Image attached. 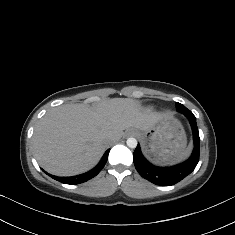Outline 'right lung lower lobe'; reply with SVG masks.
Here are the masks:
<instances>
[{
    "instance_id": "right-lung-lower-lobe-1",
    "label": "right lung lower lobe",
    "mask_w": 235,
    "mask_h": 235,
    "mask_svg": "<svg viewBox=\"0 0 235 235\" xmlns=\"http://www.w3.org/2000/svg\"><path fill=\"white\" fill-rule=\"evenodd\" d=\"M108 154H109V150H107L105 152L100 163L95 168H93L92 170H90L89 172H86L84 174L72 176V177H57V176H53V175H50V176L53 179H55L61 183H65V184L76 185V184L86 182V181L90 180L91 178L95 177L102 170V168L105 166L106 161L108 159Z\"/></svg>"
}]
</instances>
